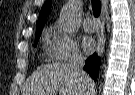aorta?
I'll list each match as a JSON object with an SVG mask.
<instances>
[{"label": "aorta", "mask_w": 135, "mask_h": 95, "mask_svg": "<svg viewBox=\"0 0 135 95\" xmlns=\"http://www.w3.org/2000/svg\"><path fill=\"white\" fill-rule=\"evenodd\" d=\"M79 9V2H69L65 5L59 17V23L63 31L69 34L75 32L77 26V14Z\"/></svg>", "instance_id": "762f6f07"}]
</instances>
